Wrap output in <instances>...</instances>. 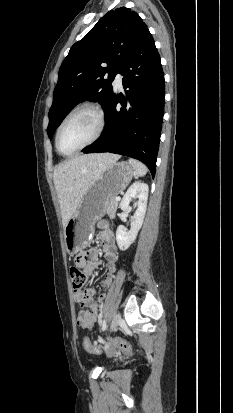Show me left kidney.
<instances>
[{"instance_id": "left-kidney-1", "label": "left kidney", "mask_w": 233, "mask_h": 413, "mask_svg": "<svg viewBox=\"0 0 233 413\" xmlns=\"http://www.w3.org/2000/svg\"><path fill=\"white\" fill-rule=\"evenodd\" d=\"M148 191L149 187L146 183L135 182L129 187L126 194L122 198L120 208L123 211H130V202L132 199L138 198V201L136 202L137 209L134 213L133 221L131 222L130 231H127V229L122 225L118 226L116 230L117 244L122 251L127 250L135 241L138 231L143 224L147 208Z\"/></svg>"}]
</instances>
